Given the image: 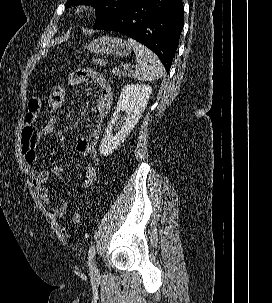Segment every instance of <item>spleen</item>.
<instances>
[{
	"mask_svg": "<svg viewBox=\"0 0 272 303\" xmlns=\"http://www.w3.org/2000/svg\"><path fill=\"white\" fill-rule=\"evenodd\" d=\"M128 44L133 47L138 63L133 76L140 81H154L165 74V69L155 53L137 41L129 38Z\"/></svg>",
	"mask_w": 272,
	"mask_h": 303,
	"instance_id": "obj_1",
	"label": "spleen"
}]
</instances>
